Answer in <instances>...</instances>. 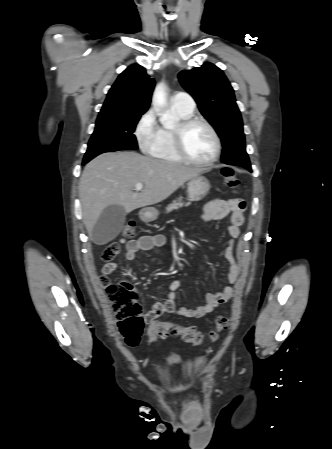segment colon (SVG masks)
<instances>
[{
    "label": "colon",
    "mask_w": 332,
    "mask_h": 449,
    "mask_svg": "<svg viewBox=\"0 0 332 449\" xmlns=\"http://www.w3.org/2000/svg\"><path fill=\"white\" fill-rule=\"evenodd\" d=\"M222 177L225 184L235 189L239 185V180L232 167L222 169ZM125 238L135 235V224L127 222L122 231ZM121 240L109 243L101 253V260L111 262L121 250ZM106 291L112 301V307L118 320L119 329L124 336L125 342L130 346L140 343L145 322L141 306L137 300V294L132 286L125 281L107 284ZM229 326V319L226 316H219L216 320L215 329L209 333V339L216 341L220 334ZM167 336H179L184 341L199 345L203 342V335L195 327H182L171 322L161 320L152 322L147 331L149 341Z\"/></svg>",
    "instance_id": "obj_1"
}]
</instances>
